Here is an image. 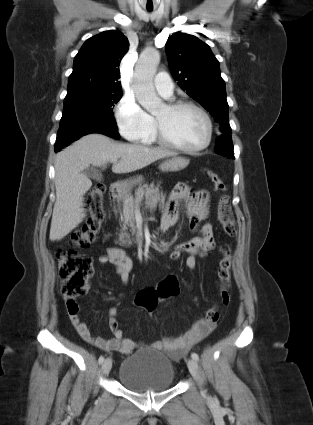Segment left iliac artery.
Listing matches in <instances>:
<instances>
[{
	"label": "left iliac artery",
	"mask_w": 313,
	"mask_h": 425,
	"mask_svg": "<svg viewBox=\"0 0 313 425\" xmlns=\"http://www.w3.org/2000/svg\"><path fill=\"white\" fill-rule=\"evenodd\" d=\"M191 357H192L194 360H196V361H198V360H199V356H198V354H196V353H192V354H191Z\"/></svg>",
	"instance_id": "44dca946"
}]
</instances>
